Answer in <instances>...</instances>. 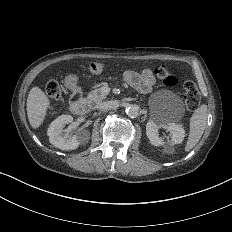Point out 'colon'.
Returning a JSON list of instances; mask_svg holds the SVG:
<instances>
[{"label":"colon","mask_w":232,"mask_h":232,"mask_svg":"<svg viewBox=\"0 0 232 232\" xmlns=\"http://www.w3.org/2000/svg\"><path fill=\"white\" fill-rule=\"evenodd\" d=\"M153 71L159 83L166 87L185 86V91L188 94H181V99H186L188 106L186 111H197V107H202L200 97H195V94H201L203 86H191V81H187V77H182V81H178L176 75L171 74L164 63L157 62L153 66ZM86 72L89 76H100L102 72L101 66L97 62H92L86 65ZM57 86V81H46V84H42V89H45V94H49L50 98H47V103H58L59 97L62 96L60 87ZM46 114H54V109H46Z\"/></svg>","instance_id":"5ec220e1"}]
</instances>
